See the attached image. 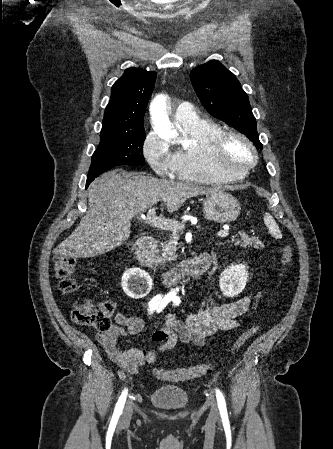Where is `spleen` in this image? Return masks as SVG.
Here are the masks:
<instances>
[{
  "label": "spleen",
  "mask_w": 333,
  "mask_h": 449,
  "mask_svg": "<svg viewBox=\"0 0 333 449\" xmlns=\"http://www.w3.org/2000/svg\"><path fill=\"white\" fill-rule=\"evenodd\" d=\"M264 223L268 227L270 234H272L275 238H281V231L279 230L278 224L271 216V214L266 213L264 215Z\"/></svg>",
  "instance_id": "spleen-1"
}]
</instances>
